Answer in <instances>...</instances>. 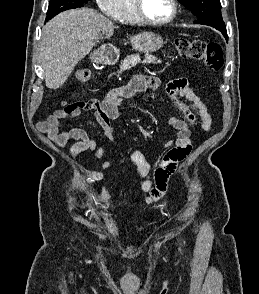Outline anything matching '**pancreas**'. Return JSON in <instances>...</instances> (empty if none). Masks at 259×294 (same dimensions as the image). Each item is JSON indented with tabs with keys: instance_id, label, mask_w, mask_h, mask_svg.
I'll return each instance as SVG.
<instances>
[{
	"instance_id": "pancreas-1",
	"label": "pancreas",
	"mask_w": 259,
	"mask_h": 294,
	"mask_svg": "<svg viewBox=\"0 0 259 294\" xmlns=\"http://www.w3.org/2000/svg\"><path fill=\"white\" fill-rule=\"evenodd\" d=\"M138 63H141V57L139 54H135V55H130L128 56L126 59H124L122 61V64L120 66V71H125L128 69H131L132 67H135ZM143 63L145 64H149V63H153V64H157V63H161L160 60L157 59V57L150 55V54H146L145 58L143 60Z\"/></svg>"
}]
</instances>
